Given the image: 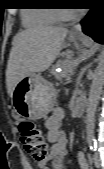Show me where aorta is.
Segmentation results:
<instances>
[{
	"label": "aorta",
	"mask_w": 104,
	"mask_h": 169,
	"mask_svg": "<svg viewBox=\"0 0 104 169\" xmlns=\"http://www.w3.org/2000/svg\"><path fill=\"white\" fill-rule=\"evenodd\" d=\"M103 86H104V71L102 68L98 67L93 76L86 108V134L87 139L89 140L94 139V130L96 121L95 115L99 99L103 91Z\"/></svg>",
	"instance_id": "1"
}]
</instances>
